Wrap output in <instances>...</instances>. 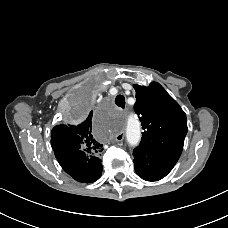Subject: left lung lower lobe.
Returning a JSON list of instances; mask_svg holds the SVG:
<instances>
[{"instance_id": "obj_1", "label": "left lung lower lobe", "mask_w": 228, "mask_h": 228, "mask_svg": "<svg viewBox=\"0 0 228 228\" xmlns=\"http://www.w3.org/2000/svg\"><path fill=\"white\" fill-rule=\"evenodd\" d=\"M133 156L137 174L146 181H157L165 177L180 157L151 148H135Z\"/></svg>"}]
</instances>
